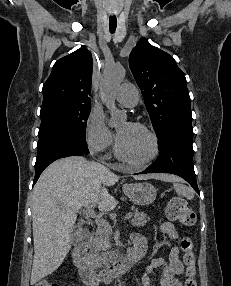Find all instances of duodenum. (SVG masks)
Segmentation results:
<instances>
[{
    "mask_svg": "<svg viewBox=\"0 0 231 286\" xmlns=\"http://www.w3.org/2000/svg\"><path fill=\"white\" fill-rule=\"evenodd\" d=\"M90 238V233L84 232L76 241L72 254L73 262L78 268L82 280L90 286H96L101 282H111L118 276L128 272L145 253L146 244L143 241H138L133 248L129 249L115 262L103 270L97 271L88 263L85 257Z\"/></svg>",
    "mask_w": 231,
    "mask_h": 286,
    "instance_id": "410a0bca",
    "label": "duodenum"
}]
</instances>
